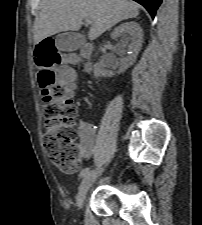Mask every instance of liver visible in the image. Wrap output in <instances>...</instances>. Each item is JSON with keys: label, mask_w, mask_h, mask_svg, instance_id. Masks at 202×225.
Instances as JSON below:
<instances>
[{"label": "liver", "mask_w": 202, "mask_h": 225, "mask_svg": "<svg viewBox=\"0 0 202 225\" xmlns=\"http://www.w3.org/2000/svg\"><path fill=\"white\" fill-rule=\"evenodd\" d=\"M138 15V4L129 0H43L34 23V42L59 32L77 31L84 19L92 21L88 34L92 41L118 22Z\"/></svg>", "instance_id": "liver-1"}]
</instances>
